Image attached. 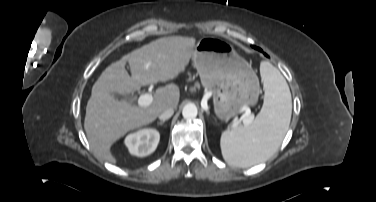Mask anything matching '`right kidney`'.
Instances as JSON below:
<instances>
[{
    "mask_svg": "<svg viewBox=\"0 0 376 202\" xmlns=\"http://www.w3.org/2000/svg\"><path fill=\"white\" fill-rule=\"evenodd\" d=\"M160 135L156 129L144 128L129 134L125 144L132 155L144 157L155 151Z\"/></svg>",
    "mask_w": 376,
    "mask_h": 202,
    "instance_id": "obj_1",
    "label": "right kidney"
}]
</instances>
